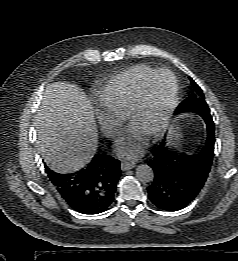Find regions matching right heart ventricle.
<instances>
[{
    "label": "right heart ventricle",
    "instance_id": "1",
    "mask_svg": "<svg viewBox=\"0 0 238 261\" xmlns=\"http://www.w3.org/2000/svg\"><path fill=\"white\" fill-rule=\"evenodd\" d=\"M155 69L135 65L110 80L97 91V99L105 110L126 117L141 82Z\"/></svg>",
    "mask_w": 238,
    "mask_h": 261
}]
</instances>
